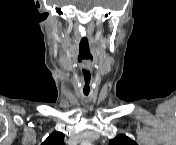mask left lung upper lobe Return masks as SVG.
<instances>
[{"instance_id": "5c2ea615", "label": "left lung upper lobe", "mask_w": 176, "mask_h": 145, "mask_svg": "<svg viewBox=\"0 0 176 145\" xmlns=\"http://www.w3.org/2000/svg\"><path fill=\"white\" fill-rule=\"evenodd\" d=\"M110 145H137L132 139L129 137L119 134L113 140H110Z\"/></svg>"}]
</instances>
